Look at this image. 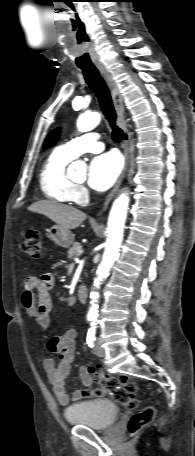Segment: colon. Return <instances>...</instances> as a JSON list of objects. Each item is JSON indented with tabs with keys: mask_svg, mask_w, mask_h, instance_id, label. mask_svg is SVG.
<instances>
[{
	"mask_svg": "<svg viewBox=\"0 0 195 456\" xmlns=\"http://www.w3.org/2000/svg\"><path fill=\"white\" fill-rule=\"evenodd\" d=\"M21 252L31 258L39 259L42 256V237L38 232H28L21 245ZM96 380L105 388L111 397L121 406L134 409L138 406V399L135 397L134 388L125 377H114L107 372H96ZM155 408L152 406L136 412L129 420L128 429L134 434L149 425L155 417Z\"/></svg>",
	"mask_w": 195,
	"mask_h": 456,
	"instance_id": "obj_1",
	"label": "colon"
}]
</instances>
